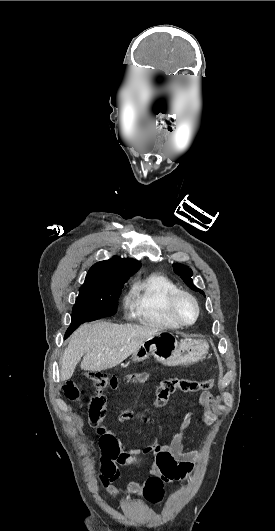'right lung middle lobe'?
I'll return each mask as SVG.
<instances>
[{
  "instance_id": "right-lung-middle-lobe-1",
  "label": "right lung middle lobe",
  "mask_w": 275,
  "mask_h": 531,
  "mask_svg": "<svg viewBox=\"0 0 275 531\" xmlns=\"http://www.w3.org/2000/svg\"><path fill=\"white\" fill-rule=\"evenodd\" d=\"M125 281L126 279L84 282L79 289V295L73 308L72 321L65 333V338L84 322L114 315Z\"/></svg>"
}]
</instances>
